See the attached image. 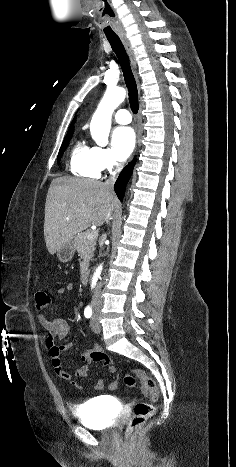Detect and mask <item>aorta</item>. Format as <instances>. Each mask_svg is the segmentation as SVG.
<instances>
[{"label":"aorta","instance_id":"1","mask_svg":"<svg viewBox=\"0 0 236 467\" xmlns=\"http://www.w3.org/2000/svg\"><path fill=\"white\" fill-rule=\"evenodd\" d=\"M126 91L124 88L108 87L100 101L90 123L92 138L98 145H105L111 128V117L114 110L124 101ZM102 266L100 265L93 274L91 288H94L100 277Z\"/></svg>","mask_w":236,"mask_h":467}]
</instances>
